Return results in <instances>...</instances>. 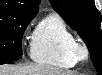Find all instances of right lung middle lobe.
Returning a JSON list of instances; mask_svg holds the SVG:
<instances>
[{
	"label": "right lung middle lobe",
	"mask_w": 102,
	"mask_h": 75,
	"mask_svg": "<svg viewBox=\"0 0 102 75\" xmlns=\"http://www.w3.org/2000/svg\"><path fill=\"white\" fill-rule=\"evenodd\" d=\"M35 15L0 11V62L22 58L23 33Z\"/></svg>",
	"instance_id": "1"
}]
</instances>
